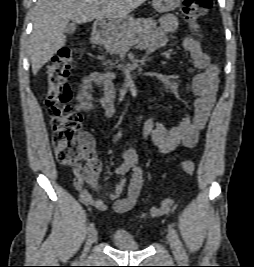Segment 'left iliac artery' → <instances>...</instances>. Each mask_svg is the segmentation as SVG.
<instances>
[{
  "mask_svg": "<svg viewBox=\"0 0 254 267\" xmlns=\"http://www.w3.org/2000/svg\"><path fill=\"white\" fill-rule=\"evenodd\" d=\"M168 229H169L170 233L173 234V236L175 237V239L177 241L178 248L180 250V254H181L182 259H184V260L187 259L185 248H184L182 242L180 241L176 230L171 225L168 226Z\"/></svg>",
  "mask_w": 254,
  "mask_h": 267,
  "instance_id": "44dca946",
  "label": "left iliac artery"
}]
</instances>
